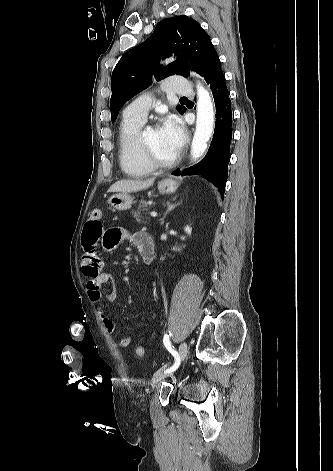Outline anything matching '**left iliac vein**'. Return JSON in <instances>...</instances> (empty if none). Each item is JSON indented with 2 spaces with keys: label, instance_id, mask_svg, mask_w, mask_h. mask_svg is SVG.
<instances>
[{
  "label": "left iliac vein",
  "instance_id": "obj_1",
  "mask_svg": "<svg viewBox=\"0 0 333 471\" xmlns=\"http://www.w3.org/2000/svg\"><path fill=\"white\" fill-rule=\"evenodd\" d=\"M178 352H179L180 363H181L182 361H184L188 353L187 344L185 342L180 344ZM173 372H169V373L164 372V373L156 374L153 378V383L154 384L160 383L165 377L172 374Z\"/></svg>",
  "mask_w": 333,
  "mask_h": 471
}]
</instances>
